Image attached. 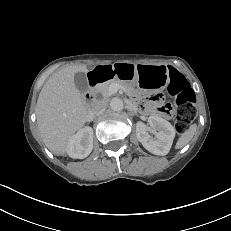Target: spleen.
I'll return each mask as SVG.
<instances>
[{
	"label": "spleen",
	"instance_id": "spleen-1",
	"mask_svg": "<svg viewBox=\"0 0 231 231\" xmlns=\"http://www.w3.org/2000/svg\"><path fill=\"white\" fill-rule=\"evenodd\" d=\"M197 131V125L193 124L189 127L188 130H186L181 137L178 139L175 148L176 149H181L183 148L186 144H188L194 135L196 134Z\"/></svg>",
	"mask_w": 231,
	"mask_h": 231
}]
</instances>
